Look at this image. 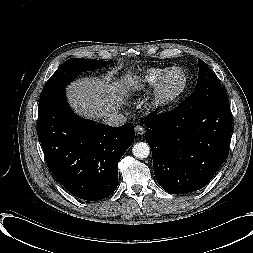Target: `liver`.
<instances>
[{
  "label": "liver",
  "mask_w": 253,
  "mask_h": 253,
  "mask_svg": "<svg viewBox=\"0 0 253 253\" xmlns=\"http://www.w3.org/2000/svg\"><path fill=\"white\" fill-rule=\"evenodd\" d=\"M111 78H83L71 83L67 88V98L74 111L82 117L105 120L123 103L124 96L137 84L131 75L110 83Z\"/></svg>",
  "instance_id": "1"
}]
</instances>
